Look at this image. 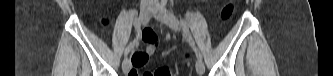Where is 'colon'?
Here are the masks:
<instances>
[{
    "instance_id": "1",
    "label": "colon",
    "mask_w": 333,
    "mask_h": 76,
    "mask_svg": "<svg viewBox=\"0 0 333 76\" xmlns=\"http://www.w3.org/2000/svg\"><path fill=\"white\" fill-rule=\"evenodd\" d=\"M234 10V6L232 4H228L222 10V19L227 20L232 15ZM129 76H138V72L134 69L131 70L128 74ZM142 76H172V71L168 67H161L152 72H145Z\"/></svg>"
}]
</instances>
